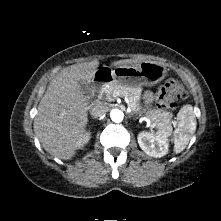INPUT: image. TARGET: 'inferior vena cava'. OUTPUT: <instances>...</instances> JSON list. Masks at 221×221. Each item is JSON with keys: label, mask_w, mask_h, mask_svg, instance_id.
Wrapping results in <instances>:
<instances>
[{"label": "inferior vena cava", "mask_w": 221, "mask_h": 221, "mask_svg": "<svg viewBox=\"0 0 221 221\" xmlns=\"http://www.w3.org/2000/svg\"><path fill=\"white\" fill-rule=\"evenodd\" d=\"M107 110L108 107L104 103L98 102L91 107L90 114L94 118H98L101 117Z\"/></svg>", "instance_id": "inferior-vena-cava-1"}]
</instances>
